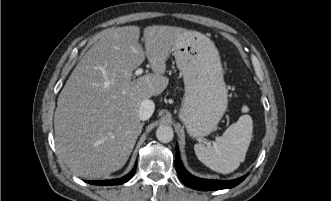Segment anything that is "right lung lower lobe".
<instances>
[{"label":"right lung lower lobe","mask_w":331,"mask_h":201,"mask_svg":"<svg viewBox=\"0 0 331 201\" xmlns=\"http://www.w3.org/2000/svg\"><path fill=\"white\" fill-rule=\"evenodd\" d=\"M135 173V169H133L128 175L120 178V179H114V180H103V181H87L90 184L94 185H119L127 182L132 178V176Z\"/></svg>","instance_id":"1"}]
</instances>
